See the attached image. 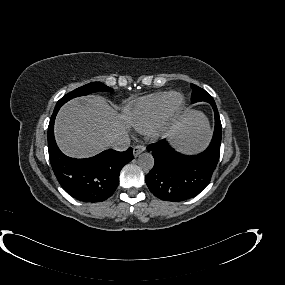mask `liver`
Listing matches in <instances>:
<instances>
[{"label":"liver","mask_w":285,"mask_h":285,"mask_svg":"<svg viewBox=\"0 0 285 285\" xmlns=\"http://www.w3.org/2000/svg\"><path fill=\"white\" fill-rule=\"evenodd\" d=\"M200 113L187 109L176 123L175 141L185 148H197L208 138L207 124ZM133 123L128 112L119 114L100 96L76 98L66 103L55 121V138L68 156L85 158L108 147L114 136L125 133Z\"/></svg>","instance_id":"liver-1"}]
</instances>
